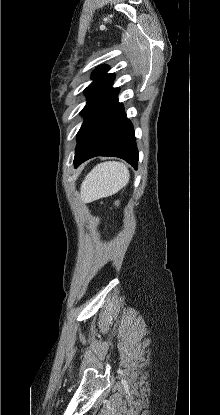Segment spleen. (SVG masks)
<instances>
[{"mask_svg":"<svg viewBox=\"0 0 220 415\" xmlns=\"http://www.w3.org/2000/svg\"><path fill=\"white\" fill-rule=\"evenodd\" d=\"M130 173L124 163L107 161L96 165L85 177L80 188V199L89 203L117 193L128 182Z\"/></svg>","mask_w":220,"mask_h":415,"instance_id":"3e777b00","label":"spleen"}]
</instances>
